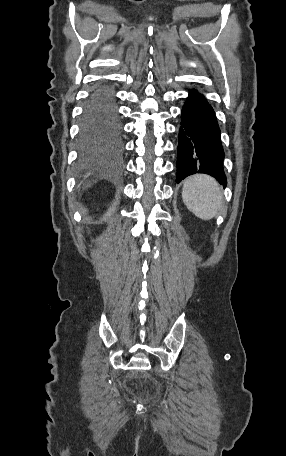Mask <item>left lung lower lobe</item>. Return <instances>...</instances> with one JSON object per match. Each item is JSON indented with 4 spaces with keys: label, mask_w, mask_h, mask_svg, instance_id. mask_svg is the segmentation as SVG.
<instances>
[{
    "label": "left lung lower lobe",
    "mask_w": 286,
    "mask_h": 456,
    "mask_svg": "<svg viewBox=\"0 0 286 456\" xmlns=\"http://www.w3.org/2000/svg\"><path fill=\"white\" fill-rule=\"evenodd\" d=\"M177 152V183L197 172L209 174L226 186L224 151L215 113L195 90L190 91L182 108Z\"/></svg>",
    "instance_id": "0a47b994"
}]
</instances>
